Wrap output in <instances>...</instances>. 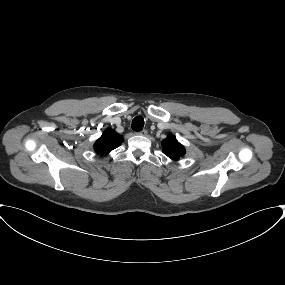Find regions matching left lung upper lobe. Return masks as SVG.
I'll use <instances>...</instances> for the list:
<instances>
[{
	"instance_id": "left-lung-upper-lobe-1",
	"label": "left lung upper lobe",
	"mask_w": 285,
	"mask_h": 285,
	"mask_svg": "<svg viewBox=\"0 0 285 285\" xmlns=\"http://www.w3.org/2000/svg\"><path fill=\"white\" fill-rule=\"evenodd\" d=\"M163 152L171 159L178 160L185 155V148L181 145L177 139L169 135L162 141Z\"/></svg>"
}]
</instances>
